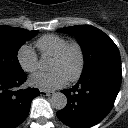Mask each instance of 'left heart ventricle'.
<instances>
[{
    "label": "left heart ventricle",
    "instance_id": "obj_1",
    "mask_svg": "<svg viewBox=\"0 0 128 128\" xmlns=\"http://www.w3.org/2000/svg\"><path fill=\"white\" fill-rule=\"evenodd\" d=\"M79 67V57L76 51H71L69 56L64 61L52 60L50 65L51 71H60L66 78L74 75Z\"/></svg>",
    "mask_w": 128,
    "mask_h": 128
}]
</instances>
